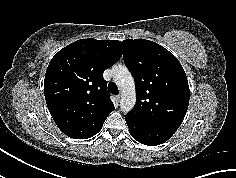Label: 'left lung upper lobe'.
<instances>
[{
    "instance_id": "1",
    "label": "left lung upper lobe",
    "mask_w": 236,
    "mask_h": 178,
    "mask_svg": "<svg viewBox=\"0 0 236 178\" xmlns=\"http://www.w3.org/2000/svg\"><path fill=\"white\" fill-rule=\"evenodd\" d=\"M123 59L136 85L137 102L125 117L176 132L189 104L187 77L178 59L145 39L124 40Z\"/></svg>"
}]
</instances>
